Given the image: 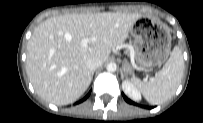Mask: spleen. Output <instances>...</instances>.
<instances>
[{"label": "spleen", "mask_w": 203, "mask_h": 123, "mask_svg": "<svg viewBox=\"0 0 203 123\" xmlns=\"http://www.w3.org/2000/svg\"><path fill=\"white\" fill-rule=\"evenodd\" d=\"M184 71L182 52L175 46L170 58L163 68L149 81L133 78L132 82L139 88L150 104H161L170 99L176 92Z\"/></svg>", "instance_id": "spleen-1"}]
</instances>
